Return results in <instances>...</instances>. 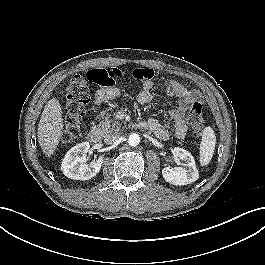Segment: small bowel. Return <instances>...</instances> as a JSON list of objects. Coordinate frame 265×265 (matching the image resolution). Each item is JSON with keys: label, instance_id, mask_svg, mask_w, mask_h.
Returning <instances> with one entry per match:
<instances>
[{"label": "small bowel", "instance_id": "obj_1", "mask_svg": "<svg viewBox=\"0 0 265 265\" xmlns=\"http://www.w3.org/2000/svg\"><path fill=\"white\" fill-rule=\"evenodd\" d=\"M145 71L146 75L143 79L142 90L139 92L137 99L141 104L150 103L153 100L151 92L153 86V75H147V68H141ZM115 70V69H113ZM117 78L120 79L121 74H116ZM166 90L169 94L175 96L179 100V106L172 110L171 117L173 120L172 135L176 139H183L186 136L187 126L184 121L185 111L196 101H199V95L196 91L190 90L175 80H168L166 82ZM119 95V89L115 84L111 86H104L95 93V102L101 104L110 99H113ZM151 130L157 137L163 140H167L170 137L169 130L163 126L157 119L151 118L143 121L140 124Z\"/></svg>", "mask_w": 265, "mask_h": 265}]
</instances>
